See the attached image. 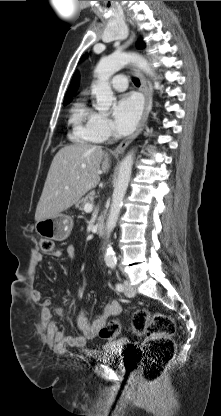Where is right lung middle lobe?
<instances>
[{
    "label": "right lung middle lobe",
    "mask_w": 221,
    "mask_h": 416,
    "mask_svg": "<svg viewBox=\"0 0 221 416\" xmlns=\"http://www.w3.org/2000/svg\"><path fill=\"white\" fill-rule=\"evenodd\" d=\"M70 101H64V105H67Z\"/></svg>",
    "instance_id": "dd1d6c3e"
}]
</instances>
